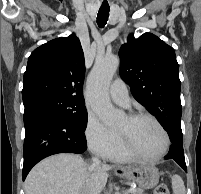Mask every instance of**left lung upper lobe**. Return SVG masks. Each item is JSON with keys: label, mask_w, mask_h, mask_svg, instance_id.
I'll return each mask as SVG.
<instances>
[{"label": "left lung upper lobe", "mask_w": 201, "mask_h": 194, "mask_svg": "<svg viewBox=\"0 0 201 194\" xmlns=\"http://www.w3.org/2000/svg\"><path fill=\"white\" fill-rule=\"evenodd\" d=\"M120 75L135 99L166 129L180 123L182 106L179 65L172 47L151 33L129 35L119 50Z\"/></svg>", "instance_id": "obj_1"}]
</instances>
